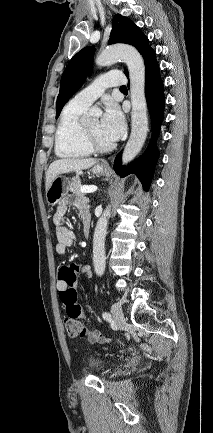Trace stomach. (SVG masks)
<instances>
[{
  "instance_id": "stomach-1",
  "label": "stomach",
  "mask_w": 213,
  "mask_h": 433,
  "mask_svg": "<svg viewBox=\"0 0 213 433\" xmlns=\"http://www.w3.org/2000/svg\"><path fill=\"white\" fill-rule=\"evenodd\" d=\"M92 173L96 175H105L109 172V168L101 164H96L92 167ZM69 178L65 176H57L46 190V201L49 205L59 203L70 189Z\"/></svg>"
}]
</instances>
